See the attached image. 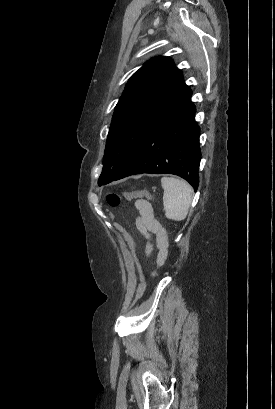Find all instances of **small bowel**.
I'll use <instances>...</instances> for the list:
<instances>
[{
    "label": "small bowel",
    "instance_id": "1",
    "mask_svg": "<svg viewBox=\"0 0 275 409\" xmlns=\"http://www.w3.org/2000/svg\"><path fill=\"white\" fill-rule=\"evenodd\" d=\"M139 217L136 221L139 231L148 236L149 233L156 235V245L158 249L157 263L162 265L168 255V239L161 227L160 223L154 218L152 208L149 203L145 201H138L136 203ZM148 250L150 248L148 247Z\"/></svg>",
    "mask_w": 275,
    "mask_h": 409
}]
</instances>
